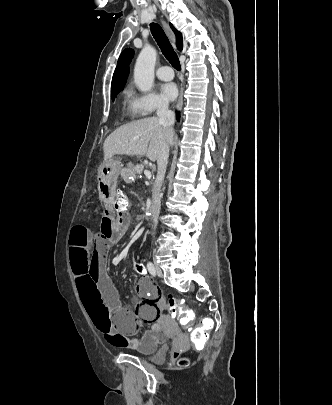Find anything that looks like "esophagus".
Returning <instances> with one entry per match:
<instances>
[{
    "mask_svg": "<svg viewBox=\"0 0 332 405\" xmlns=\"http://www.w3.org/2000/svg\"><path fill=\"white\" fill-rule=\"evenodd\" d=\"M164 27L168 33V35L171 37V39H174V36L172 34V32L170 31L169 27L164 23ZM182 102L180 101V99L178 100L177 106H181Z\"/></svg>",
    "mask_w": 332,
    "mask_h": 405,
    "instance_id": "1",
    "label": "esophagus"
}]
</instances>
